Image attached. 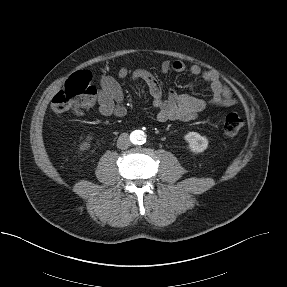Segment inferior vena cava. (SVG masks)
<instances>
[{
    "instance_id": "obj_1",
    "label": "inferior vena cava",
    "mask_w": 287,
    "mask_h": 287,
    "mask_svg": "<svg viewBox=\"0 0 287 287\" xmlns=\"http://www.w3.org/2000/svg\"><path fill=\"white\" fill-rule=\"evenodd\" d=\"M131 145L129 136L127 133H123L119 136L117 140V148L119 149H127Z\"/></svg>"
}]
</instances>
